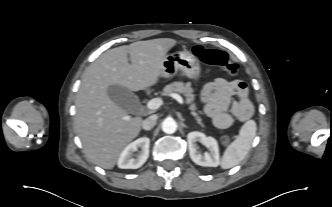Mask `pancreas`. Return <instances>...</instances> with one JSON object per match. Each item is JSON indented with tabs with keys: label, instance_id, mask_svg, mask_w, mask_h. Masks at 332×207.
<instances>
[{
	"label": "pancreas",
	"instance_id": "1",
	"mask_svg": "<svg viewBox=\"0 0 332 207\" xmlns=\"http://www.w3.org/2000/svg\"><path fill=\"white\" fill-rule=\"evenodd\" d=\"M193 91L194 90L191 88L189 83L184 84L182 82H173L165 86L163 89V95L168 96L174 92L183 94L186 98V103L190 104L189 109L191 110L192 116L199 125L204 126L202 118L195 112L197 107L194 103L195 96L193 95Z\"/></svg>",
	"mask_w": 332,
	"mask_h": 207
}]
</instances>
